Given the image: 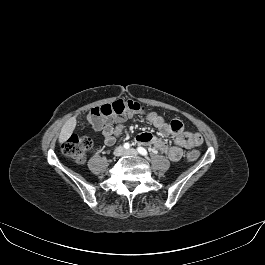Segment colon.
Here are the masks:
<instances>
[{
  "label": "colon",
  "instance_id": "obj_1",
  "mask_svg": "<svg viewBox=\"0 0 265 265\" xmlns=\"http://www.w3.org/2000/svg\"><path fill=\"white\" fill-rule=\"evenodd\" d=\"M146 107L139 102L129 99H119L112 103L92 108L87 116L89 123L97 127L102 125L106 119L111 117H121L129 114L144 113ZM92 147V140L87 135H72L62 145L63 153L77 163L85 161L88 151ZM199 157V152L195 149L186 154L188 161H195Z\"/></svg>",
  "mask_w": 265,
  "mask_h": 265
}]
</instances>
